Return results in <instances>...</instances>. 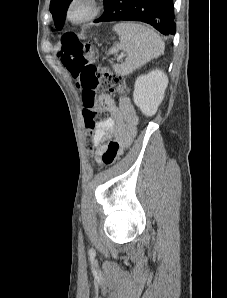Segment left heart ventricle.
<instances>
[{"mask_svg":"<svg viewBox=\"0 0 227 298\" xmlns=\"http://www.w3.org/2000/svg\"><path fill=\"white\" fill-rule=\"evenodd\" d=\"M88 12V4L86 2H79L73 7L72 16L74 19H79L87 15Z\"/></svg>","mask_w":227,"mask_h":298,"instance_id":"obj_1","label":"left heart ventricle"}]
</instances>
